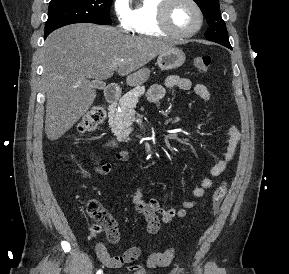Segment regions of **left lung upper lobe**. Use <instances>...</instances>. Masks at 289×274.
Listing matches in <instances>:
<instances>
[{"label": "left lung upper lobe", "instance_id": "obj_1", "mask_svg": "<svg viewBox=\"0 0 289 274\" xmlns=\"http://www.w3.org/2000/svg\"><path fill=\"white\" fill-rule=\"evenodd\" d=\"M209 25L205 36L208 40L219 43L221 45H230L225 22L220 14V6L218 0H194Z\"/></svg>", "mask_w": 289, "mask_h": 274}]
</instances>
